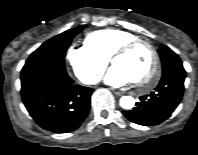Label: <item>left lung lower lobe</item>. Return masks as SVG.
Wrapping results in <instances>:
<instances>
[{
  "label": "left lung lower lobe",
  "mask_w": 198,
  "mask_h": 155,
  "mask_svg": "<svg viewBox=\"0 0 198 155\" xmlns=\"http://www.w3.org/2000/svg\"><path fill=\"white\" fill-rule=\"evenodd\" d=\"M185 70H176L162 76L159 85L150 95L140 97L136 107L123 114L132 122L150 126L168 119L179 105L184 91ZM141 112H149L150 117H142Z\"/></svg>",
  "instance_id": "obj_1"
}]
</instances>
